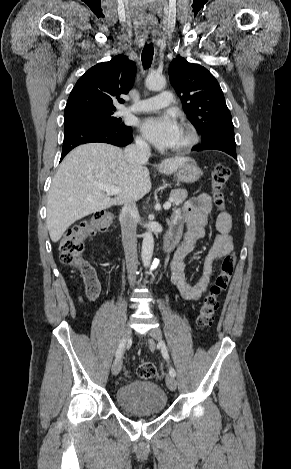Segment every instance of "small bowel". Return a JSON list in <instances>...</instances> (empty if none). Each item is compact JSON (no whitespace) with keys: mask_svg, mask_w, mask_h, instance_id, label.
<instances>
[{"mask_svg":"<svg viewBox=\"0 0 291 469\" xmlns=\"http://www.w3.org/2000/svg\"><path fill=\"white\" fill-rule=\"evenodd\" d=\"M211 211L210 196L201 194L186 202L182 210L176 212L171 219L170 227L176 229L179 235L186 229L184 239L170 262L172 282L185 300L196 301L201 298L208 288L214 263L233 250V241L229 234L231 216L228 212H222L217 217V234L204 259L202 274L195 284L188 282L186 258L194 249L196 242L205 236ZM84 282L86 288L95 287L100 292V283L94 272L93 277L84 279Z\"/></svg>","mask_w":291,"mask_h":469,"instance_id":"small-bowel-1","label":"small bowel"}]
</instances>
